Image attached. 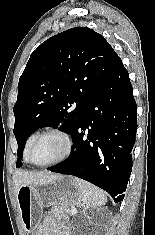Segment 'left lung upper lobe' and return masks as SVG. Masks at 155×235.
Masks as SVG:
<instances>
[{
  "label": "left lung upper lobe",
  "instance_id": "5c2ea615",
  "mask_svg": "<svg viewBox=\"0 0 155 235\" xmlns=\"http://www.w3.org/2000/svg\"><path fill=\"white\" fill-rule=\"evenodd\" d=\"M119 59L106 39L87 27L52 36L31 54L13 109L17 167L22 166L26 139L38 128L51 126L72 135L88 102Z\"/></svg>",
  "mask_w": 155,
  "mask_h": 235
}]
</instances>
